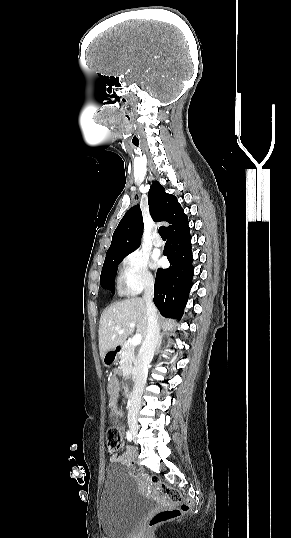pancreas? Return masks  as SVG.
Wrapping results in <instances>:
<instances>
[{"label": "pancreas", "instance_id": "cf45deb5", "mask_svg": "<svg viewBox=\"0 0 291 538\" xmlns=\"http://www.w3.org/2000/svg\"><path fill=\"white\" fill-rule=\"evenodd\" d=\"M120 358V367L124 372L131 373L134 369L133 363L135 362V351L134 347L125 343L123 345V350L119 355Z\"/></svg>", "mask_w": 291, "mask_h": 538}]
</instances>
